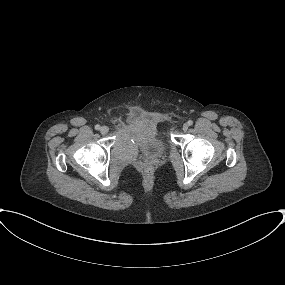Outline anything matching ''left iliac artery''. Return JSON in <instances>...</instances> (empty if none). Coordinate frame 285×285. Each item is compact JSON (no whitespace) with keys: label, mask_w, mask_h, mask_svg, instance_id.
<instances>
[{"label":"left iliac artery","mask_w":285,"mask_h":285,"mask_svg":"<svg viewBox=\"0 0 285 285\" xmlns=\"http://www.w3.org/2000/svg\"><path fill=\"white\" fill-rule=\"evenodd\" d=\"M187 123H188L189 126H191L193 124V121L189 120Z\"/></svg>","instance_id":"44dca946"}]
</instances>
